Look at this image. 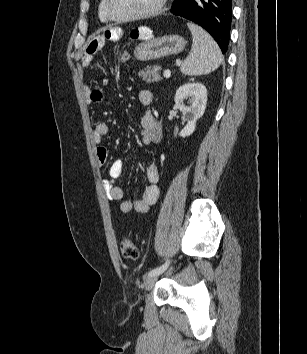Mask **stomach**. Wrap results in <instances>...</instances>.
I'll list each match as a JSON object with an SVG mask.
<instances>
[{"label": "stomach", "instance_id": "1", "mask_svg": "<svg viewBox=\"0 0 307 354\" xmlns=\"http://www.w3.org/2000/svg\"><path fill=\"white\" fill-rule=\"evenodd\" d=\"M132 32L133 38L143 40L134 50L135 57L140 61H151L176 55L185 48L184 38L177 34L152 38V30L146 26L135 28Z\"/></svg>", "mask_w": 307, "mask_h": 354}]
</instances>
